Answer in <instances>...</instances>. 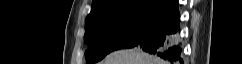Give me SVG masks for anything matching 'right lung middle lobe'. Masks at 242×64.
<instances>
[{
    "mask_svg": "<svg viewBox=\"0 0 242 64\" xmlns=\"http://www.w3.org/2000/svg\"><path fill=\"white\" fill-rule=\"evenodd\" d=\"M163 17L156 11L132 10L108 14L86 24V64L98 62L112 51L137 46Z\"/></svg>",
    "mask_w": 242,
    "mask_h": 64,
    "instance_id": "obj_1",
    "label": "right lung middle lobe"
}]
</instances>
